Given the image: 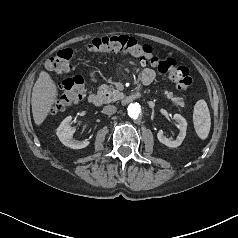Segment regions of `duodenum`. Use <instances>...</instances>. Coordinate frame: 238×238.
<instances>
[{
  "label": "duodenum",
  "instance_id": "duodenum-1",
  "mask_svg": "<svg viewBox=\"0 0 238 238\" xmlns=\"http://www.w3.org/2000/svg\"><path fill=\"white\" fill-rule=\"evenodd\" d=\"M139 97H140V93L139 92H133V93L127 95L124 98V102L126 104H128V103L136 101L137 99H139ZM89 101L92 104L99 106V105H102L104 103L105 98H104V96L102 94H92L89 97Z\"/></svg>",
  "mask_w": 238,
  "mask_h": 238
}]
</instances>
